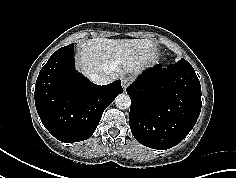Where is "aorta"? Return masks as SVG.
Listing matches in <instances>:
<instances>
[{
    "instance_id": "aorta-1",
    "label": "aorta",
    "mask_w": 236,
    "mask_h": 178,
    "mask_svg": "<svg viewBox=\"0 0 236 178\" xmlns=\"http://www.w3.org/2000/svg\"><path fill=\"white\" fill-rule=\"evenodd\" d=\"M115 104L119 109H128L131 105V99L127 94H119L115 99Z\"/></svg>"
}]
</instances>
